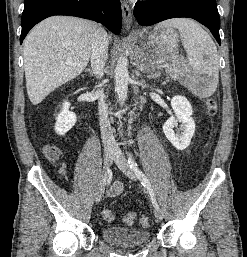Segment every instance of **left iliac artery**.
I'll return each mask as SVG.
<instances>
[{
    "label": "left iliac artery",
    "mask_w": 247,
    "mask_h": 257,
    "mask_svg": "<svg viewBox=\"0 0 247 257\" xmlns=\"http://www.w3.org/2000/svg\"><path fill=\"white\" fill-rule=\"evenodd\" d=\"M128 163H129L130 167L133 169V171L135 172V174L140 179L142 185L145 188H147V190L149 192V195H150V198H151V202H152L154 208L159 209V205L157 204L155 194L153 192V189L151 187V184H150L149 180L147 179L145 174L138 168L137 163L135 162V160L133 159L131 154H129Z\"/></svg>",
    "instance_id": "left-iliac-artery-1"
}]
</instances>
